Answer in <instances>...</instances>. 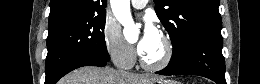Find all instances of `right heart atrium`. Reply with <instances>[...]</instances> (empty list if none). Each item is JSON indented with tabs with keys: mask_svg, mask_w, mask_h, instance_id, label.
I'll list each match as a JSON object with an SVG mask.
<instances>
[{
	"mask_svg": "<svg viewBox=\"0 0 260 84\" xmlns=\"http://www.w3.org/2000/svg\"><path fill=\"white\" fill-rule=\"evenodd\" d=\"M104 47L111 60L122 68L131 67L136 59L132 45L124 38L120 27L114 21L107 19L103 31Z\"/></svg>",
	"mask_w": 260,
	"mask_h": 84,
	"instance_id": "obj_1",
	"label": "right heart atrium"
}]
</instances>
